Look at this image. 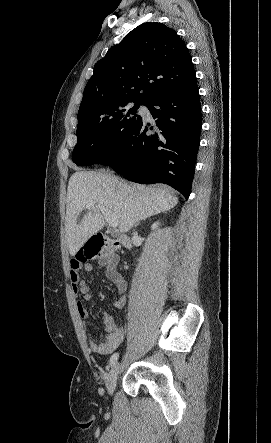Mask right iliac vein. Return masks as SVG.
I'll use <instances>...</instances> for the list:
<instances>
[{
  "label": "right iliac vein",
  "mask_w": 271,
  "mask_h": 443,
  "mask_svg": "<svg viewBox=\"0 0 271 443\" xmlns=\"http://www.w3.org/2000/svg\"><path fill=\"white\" fill-rule=\"evenodd\" d=\"M119 373H120V364L117 363L113 366L112 370L110 371V374L108 376L107 383H106L107 391L110 395L113 394V392L115 390Z\"/></svg>",
  "instance_id": "1"
}]
</instances>
